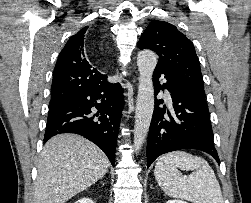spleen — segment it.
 Masks as SVG:
<instances>
[{"instance_id": "spleen-1", "label": "spleen", "mask_w": 251, "mask_h": 203, "mask_svg": "<svg viewBox=\"0 0 251 203\" xmlns=\"http://www.w3.org/2000/svg\"><path fill=\"white\" fill-rule=\"evenodd\" d=\"M178 169L193 172L184 177ZM154 175L168 196L194 203H223L219 182L203 158L184 151L164 154L157 160Z\"/></svg>"}]
</instances>
